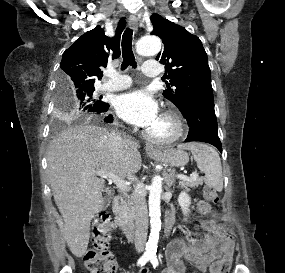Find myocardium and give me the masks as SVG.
Masks as SVG:
<instances>
[{
    "label": "myocardium",
    "instance_id": "1",
    "mask_svg": "<svg viewBox=\"0 0 285 273\" xmlns=\"http://www.w3.org/2000/svg\"><path fill=\"white\" fill-rule=\"evenodd\" d=\"M161 118L172 124L173 130L171 134L165 137H158L147 130L144 133L146 139L155 144L166 145L180 140L185 135L187 129L186 122L176 109H167L161 114Z\"/></svg>",
    "mask_w": 285,
    "mask_h": 273
}]
</instances>
